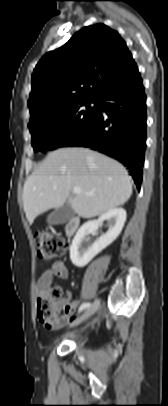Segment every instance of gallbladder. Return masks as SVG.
<instances>
[{"instance_id":"obj_1","label":"gallbladder","mask_w":168,"mask_h":406,"mask_svg":"<svg viewBox=\"0 0 168 406\" xmlns=\"http://www.w3.org/2000/svg\"><path fill=\"white\" fill-rule=\"evenodd\" d=\"M74 216V211L68 202L51 212L47 217V222L52 225H59L68 222Z\"/></svg>"}]
</instances>
